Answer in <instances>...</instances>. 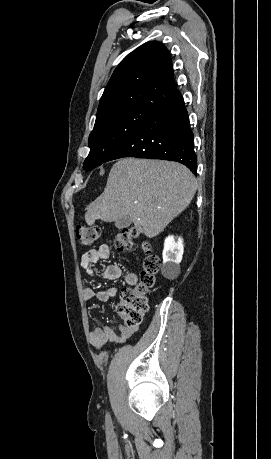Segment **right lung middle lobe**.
Returning <instances> with one entry per match:
<instances>
[{"mask_svg":"<svg viewBox=\"0 0 271 459\" xmlns=\"http://www.w3.org/2000/svg\"><path fill=\"white\" fill-rule=\"evenodd\" d=\"M156 112L133 108L96 118L89 136L90 153L83 168L91 170L107 161L109 155Z\"/></svg>","mask_w":271,"mask_h":459,"instance_id":"right-lung-middle-lobe-1","label":"right lung middle lobe"}]
</instances>
